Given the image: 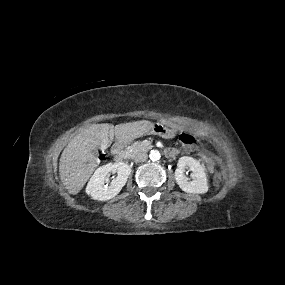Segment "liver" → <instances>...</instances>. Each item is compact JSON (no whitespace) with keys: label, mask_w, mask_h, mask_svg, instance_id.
<instances>
[{"label":"liver","mask_w":285,"mask_h":285,"mask_svg":"<svg viewBox=\"0 0 285 285\" xmlns=\"http://www.w3.org/2000/svg\"><path fill=\"white\" fill-rule=\"evenodd\" d=\"M154 123L140 120L118 124H92L75 135L63 150L59 162L60 179L70 194H77L99 164L97 147L106 149L113 136L119 142H130L150 131Z\"/></svg>","instance_id":"liver-1"}]
</instances>
